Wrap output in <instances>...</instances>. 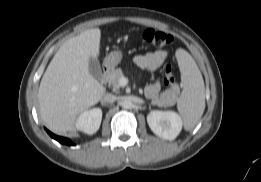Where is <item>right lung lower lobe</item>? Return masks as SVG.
I'll return each instance as SVG.
<instances>
[{"instance_id":"1","label":"right lung lower lobe","mask_w":261,"mask_h":182,"mask_svg":"<svg viewBox=\"0 0 261 182\" xmlns=\"http://www.w3.org/2000/svg\"><path fill=\"white\" fill-rule=\"evenodd\" d=\"M46 131L48 132V134L54 138L55 140H57L58 142L62 143V144H65V145H73V143L68 140L67 138H64V137H59V136H56L54 135L53 133H51L49 130L46 129Z\"/></svg>"}]
</instances>
